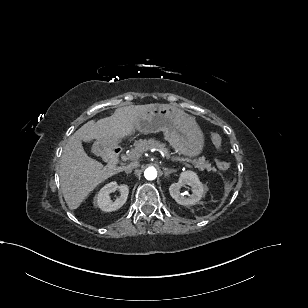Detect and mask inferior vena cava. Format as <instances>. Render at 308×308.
Returning <instances> with one entry per match:
<instances>
[{
    "mask_svg": "<svg viewBox=\"0 0 308 308\" xmlns=\"http://www.w3.org/2000/svg\"><path fill=\"white\" fill-rule=\"evenodd\" d=\"M137 167V164H130V165H128L127 167H126V169H125V172L128 174V173H131L132 172V170L134 169V168H136Z\"/></svg>",
    "mask_w": 308,
    "mask_h": 308,
    "instance_id": "602c4592",
    "label": "inferior vena cava"
}]
</instances>
